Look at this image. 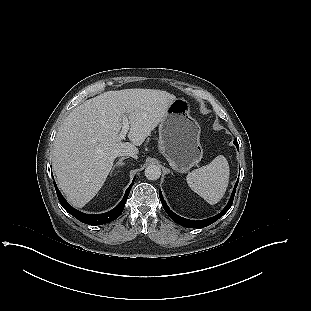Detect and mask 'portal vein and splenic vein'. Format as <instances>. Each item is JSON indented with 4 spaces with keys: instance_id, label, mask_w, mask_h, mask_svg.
I'll list each match as a JSON object with an SVG mask.
<instances>
[{
    "instance_id": "obj_1",
    "label": "portal vein and splenic vein",
    "mask_w": 311,
    "mask_h": 311,
    "mask_svg": "<svg viewBox=\"0 0 311 311\" xmlns=\"http://www.w3.org/2000/svg\"><path fill=\"white\" fill-rule=\"evenodd\" d=\"M123 126H122V130L121 132L119 133V140H123L125 139L126 137V134L128 132V130L130 129V126H129V121L127 119V117H123Z\"/></svg>"
}]
</instances>
